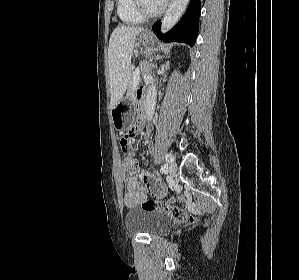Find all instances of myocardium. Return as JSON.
Listing matches in <instances>:
<instances>
[{
  "mask_svg": "<svg viewBox=\"0 0 299 280\" xmlns=\"http://www.w3.org/2000/svg\"><path fill=\"white\" fill-rule=\"evenodd\" d=\"M132 1H133L134 10L143 19H152L160 16L164 12L166 7V3L164 2L157 10L148 11L143 5V0H132Z\"/></svg>",
  "mask_w": 299,
  "mask_h": 280,
  "instance_id": "obj_1",
  "label": "myocardium"
}]
</instances>
